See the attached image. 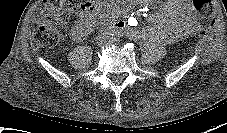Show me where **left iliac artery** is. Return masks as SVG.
Returning a JSON list of instances; mask_svg holds the SVG:
<instances>
[{"mask_svg": "<svg viewBox=\"0 0 227 133\" xmlns=\"http://www.w3.org/2000/svg\"><path fill=\"white\" fill-rule=\"evenodd\" d=\"M114 41H115L116 43H119V42H120V37H119V35H116V36L114 37Z\"/></svg>", "mask_w": 227, "mask_h": 133, "instance_id": "left-iliac-artery-1", "label": "left iliac artery"}]
</instances>
